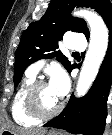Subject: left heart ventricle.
Here are the masks:
<instances>
[{"instance_id": "b2bd125f", "label": "left heart ventricle", "mask_w": 112, "mask_h": 135, "mask_svg": "<svg viewBox=\"0 0 112 135\" xmlns=\"http://www.w3.org/2000/svg\"><path fill=\"white\" fill-rule=\"evenodd\" d=\"M60 103L58 98L49 84L42 86L38 91V104L42 111L50 112L54 110Z\"/></svg>"}]
</instances>
